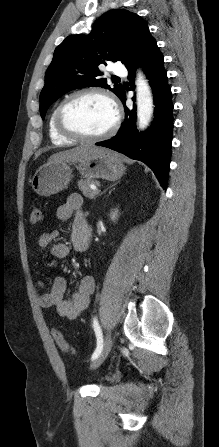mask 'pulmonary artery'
<instances>
[{"instance_id":"pulmonary-artery-1","label":"pulmonary artery","mask_w":219,"mask_h":447,"mask_svg":"<svg viewBox=\"0 0 219 447\" xmlns=\"http://www.w3.org/2000/svg\"><path fill=\"white\" fill-rule=\"evenodd\" d=\"M112 71L115 75H125L126 74V68L121 63L114 64Z\"/></svg>"}]
</instances>
